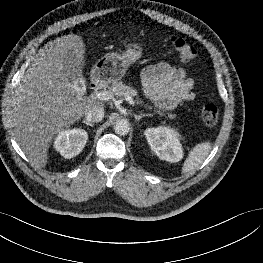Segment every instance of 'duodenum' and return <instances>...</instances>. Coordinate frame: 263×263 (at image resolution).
Returning <instances> with one entry per match:
<instances>
[{
  "label": "duodenum",
  "mask_w": 263,
  "mask_h": 263,
  "mask_svg": "<svg viewBox=\"0 0 263 263\" xmlns=\"http://www.w3.org/2000/svg\"><path fill=\"white\" fill-rule=\"evenodd\" d=\"M100 86H101L100 83L97 82V81H94V82L91 83V88H92L93 90L99 89Z\"/></svg>",
  "instance_id": "obj_1"
}]
</instances>
